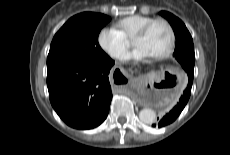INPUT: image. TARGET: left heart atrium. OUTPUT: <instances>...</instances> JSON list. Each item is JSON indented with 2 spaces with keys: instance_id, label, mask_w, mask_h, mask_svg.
Instances as JSON below:
<instances>
[{
  "instance_id": "left-heart-atrium-1",
  "label": "left heart atrium",
  "mask_w": 230,
  "mask_h": 155,
  "mask_svg": "<svg viewBox=\"0 0 230 155\" xmlns=\"http://www.w3.org/2000/svg\"><path fill=\"white\" fill-rule=\"evenodd\" d=\"M150 54L142 47H136L133 51L124 56L126 61H143L150 58Z\"/></svg>"
}]
</instances>
